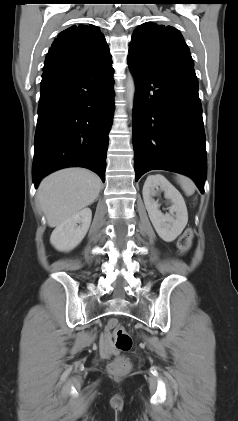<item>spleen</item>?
Instances as JSON below:
<instances>
[{"label": "spleen", "mask_w": 238, "mask_h": 421, "mask_svg": "<svg viewBox=\"0 0 238 421\" xmlns=\"http://www.w3.org/2000/svg\"><path fill=\"white\" fill-rule=\"evenodd\" d=\"M178 182L181 185L182 189L187 195H192L195 191V185L189 178L185 176H179Z\"/></svg>", "instance_id": "obj_1"}]
</instances>
